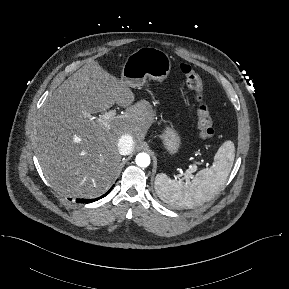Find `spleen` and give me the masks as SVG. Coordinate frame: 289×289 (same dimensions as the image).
I'll use <instances>...</instances> for the list:
<instances>
[{"mask_svg":"<svg viewBox=\"0 0 289 289\" xmlns=\"http://www.w3.org/2000/svg\"><path fill=\"white\" fill-rule=\"evenodd\" d=\"M235 158V146L225 141L214 156L212 167L200 170L191 180H173L157 174L155 190L159 198L173 206L192 209L210 201L225 184Z\"/></svg>","mask_w":289,"mask_h":289,"instance_id":"spleen-1","label":"spleen"}]
</instances>
